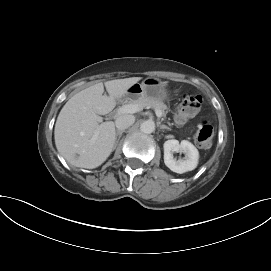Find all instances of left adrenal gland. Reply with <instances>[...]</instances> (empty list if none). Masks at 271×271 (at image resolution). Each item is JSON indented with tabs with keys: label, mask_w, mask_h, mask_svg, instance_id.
I'll return each mask as SVG.
<instances>
[{
	"label": "left adrenal gland",
	"mask_w": 271,
	"mask_h": 271,
	"mask_svg": "<svg viewBox=\"0 0 271 271\" xmlns=\"http://www.w3.org/2000/svg\"><path fill=\"white\" fill-rule=\"evenodd\" d=\"M160 128L161 129H167V130H171L168 126H166V125H160Z\"/></svg>",
	"instance_id": "1"
}]
</instances>
